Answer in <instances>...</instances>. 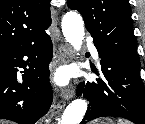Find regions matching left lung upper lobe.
Instances as JSON below:
<instances>
[{"instance_id":"left-lung-upper-lobe-1","label":"left lung upper lobe","mask_w":145,"mask_h":124,"mask_svg":"<svg viewBox=\"0 0 145 124\" xmlns=\"http://www.w3.org/2000/svg\"><path fill=\"white\" fill-rule=\"evenodd\" d=\"M84 18L101 53L140 65L128 0H68Z\"/></svg>"}]
</instances>
